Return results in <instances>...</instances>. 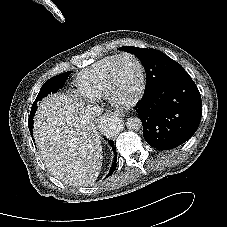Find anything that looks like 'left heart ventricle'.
Listing matches in <instances>:
<instances>
[{
	"instance_id": "b2bd125f",
	"label": "left heart ventricle",
	"mask_w": 227,
	"mask_h": 227,
	"mask_svg": "<svg viewBox=\"0 0 227 227\" xmlns=\"http://www.w3.org/2000/svg\"><path fill=\"white\" fill-rule=\"evenodd\" d=\"M114 78L116 98L130 100L140 85L139 67L132 58H123L115 66Z\"/></svg>"
}]
</instances>
